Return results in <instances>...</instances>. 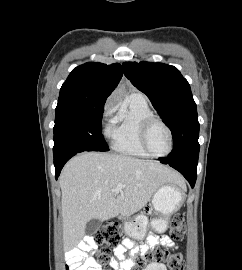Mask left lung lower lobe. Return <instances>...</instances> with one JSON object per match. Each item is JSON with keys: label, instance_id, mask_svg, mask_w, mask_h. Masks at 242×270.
Listing matches in <instances>:
<instances>
[{"label": "left lung lower lobe", "instance_id": "0a47b994", "mask_svg": "<svg viewBox=\"0 0 242 270\" xmlns=\"http://www.w3.org/2000/svg\"><path fill=\"white\" fill-rule=\"evenodd\" d=\"M159 160H161V163L169 164L171 167L178 170L189 181L191 187H194L197 177L198 156L176 161L164 158H160Z\"/></svg>", "mask_w": 242, "mask_h": 270}]
</instances>
